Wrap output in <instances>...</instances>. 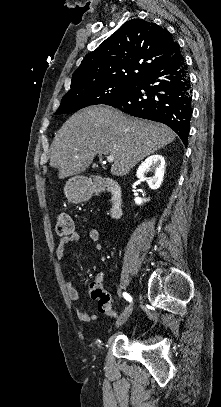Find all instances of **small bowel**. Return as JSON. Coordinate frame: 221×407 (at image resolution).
<instances>
[{
	"mask_svg": "<svg viewBox=\"0 0 221 407\" xmlns=\"http://www.w3.org/2000/svg\"><path fill=\"white\" fill-rule=\"evenodd\" d=\"M88 237L90 238L91 241L96 243V247L97 249H101V245L99 243L100 240V232L96 229V228H90L88 230ZM80 240V234L78 232H73L70 236H66V237H62L59 241V244L56 248L55 254L58 260H63V258L65 257V254L67 252L68 246L73 243V242H77ZM100 260L101 261H105L106 257L104 255L100 256ZM106 278V274L103 271H97L91 281L93 282H100L101 284L103 283V281ZM63 282H64V286L66 289V292L69 296V298L72 301H79L80 299V294L78 292V290L75 288V286L73 285L72 281L70 279H68L67 277L63 278ZM89 297L92 300H97L96 298L92 297V295L90 294V289H89ZM76 315L78 317V319L82 322L88 323L91 321H96L98 319V315L94 314V313H86L84 311H82L81 309H77L76 310Z\"/></svg>",
	"mask_w": 221,
	"mask_h": 407,
	"instance_id": "obj_1",
	"label": "small bowel"
}]
</instances>
